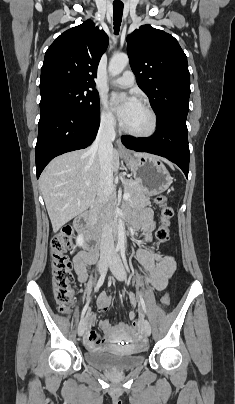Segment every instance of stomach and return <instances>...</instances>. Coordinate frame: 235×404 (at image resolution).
<instances>
[{
    "mask_svg": "<svg viewBox=\"0 0 235 404\" xmlns=\"http://www.w3.org/2000/svg\"><path fill=\"white\" fill-rule=\"evenodd\" d=\"M124 161L132 171L136 181L140 182L148 195H158L166 191L172 183V177L163 161L151 154L125 156Z\"/></svg>",
    "mask_w": 235,
    "mask_h": 404,
    "instance_id": "stomach-1",
    "label": "stomach"
}]
</instances>
